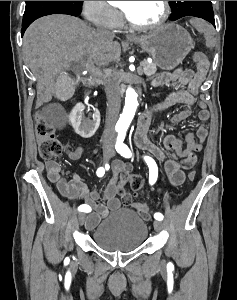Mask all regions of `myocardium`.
<instances>
[{
	"label": "myocardium",
	"instance_id": "f54148a6",
	"mask_svg": "<svg viewBox=\"0 0 237 300\" xmlns=\"http://www.w3.org/2000/svg\"><path fill=\"white\" fill-rule=\"evenodd\" d=\"M162 3H163L162 16L160 17V19L158 21H156L155 23H152V24L140 25V24L135 23L124 10H122V14H123V17H124L126 23L135 30H140V31L155 30V29L162 27L167 22V20L170 16V12H171L170 1H162Z\"/></svg>",
	"mask_w": 237,
	"mask_h": 300
}]
</instances>
